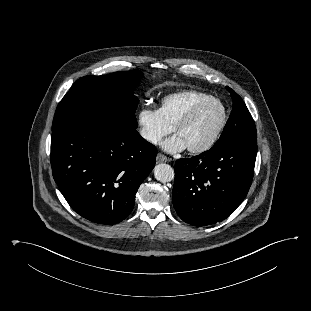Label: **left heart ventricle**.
Returning a JSON list of instances; mask_svg holds the SVG:
<instances>
[{
	"mask_svg": "<svg viewBox=\"0 0 311 311\" xmlns=\"http://www.w3.org/2000/svg\"><path fill=\"white\" fill-rule=\"evenodd\" d=\"M220 117V106L217 103H209L177 134L183 139L187 147L200 146L211 137L220 121Z\"/></svg>",
	"mask_w": 311,
	"mask_h": 311,
	"instance_id": "b2bd125f",
	"label": "left heart ventricle"
}]
</instances>
